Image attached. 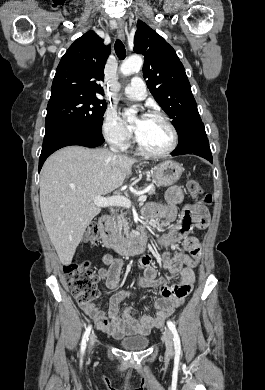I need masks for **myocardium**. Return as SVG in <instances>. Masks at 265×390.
Here are the masks:
<instances>
[{"instance_id": "1", "label": "myocardium", "mask_w": 265, "mask_h": 390, "mask_svg": "<svg viewBox=\"0 0 265 390\" xmlns=\"http://www.w3.org/2000/svg\"><path fill=\"white\" fill-rule=\"evenodd\" d=\"M146 115L160 119L167 126V128L169 129V131L171 133V143L167 149L160 151V152H154V151L147 149L141 143L138 135L135 134V143L137 145L138 150L141 153H143L144 155L149 156V157H153V158H164V157L169 156L170 154H172L174 152V150L176 149V147L178 145L177 129L175 128L173 123L170 121V119L160 111H149Z\"/></svg>"}]
</instances>
